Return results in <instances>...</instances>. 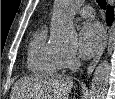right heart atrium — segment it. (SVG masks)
I'll return each mask as SVG.
<instances>
[{
	"label": "right heart atrium",
	"mask_w": 115,
	"mask_h": 99,
	"mask_svg": "<svg viewBox=\"0 0 115 99\" xmlns=\"http://www.w3.org/2000/svg\"><path fill=\"white\" fill-rule=\"evenodd\" d=\"M76 64V57L72 52H66L63 54V66L65 68H72Z\"/></svg>",
	"instance_id": "d8ad5b80"
}]
</instances>
